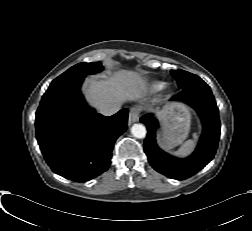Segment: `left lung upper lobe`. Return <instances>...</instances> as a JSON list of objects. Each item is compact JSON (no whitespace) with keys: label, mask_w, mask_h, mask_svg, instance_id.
<instances>
[{"label":"left lung upper lobe","mask_w":252,"mask_h":231,"mask_svg":"<svg viewBox=\"0 0 252 231\" xmlns=\"http://www.w3.org/2000/svg\"><path fill=\"white\" fill-rule=\"evenodd\" d=\"M181 89L208 86L200 77L184 70H171Z\"/></svg>","instance_id":"left-lung-upper-lobe-1"}]
</instances>
